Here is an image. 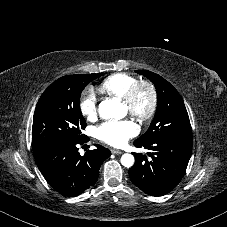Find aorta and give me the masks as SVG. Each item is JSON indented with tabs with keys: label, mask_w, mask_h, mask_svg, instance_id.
<instances>
[{
	"label": "aorta",
	"mask_w": 227,
	"mask_h": 227,
	"mask_svg": "<svg viewBox=\"0 0 227 227\" xmlns=\"http://www.w3.org/2000/svg\"><path fill=\"white\" fill-rule=\"evenodd\" d=\"M98 112L104 119H122L127 113L126 107L115 99H107L99 104ZM121 164L125 167H131L134 164L132 154H124L121 157Z\"/></svg>",
	"instance_id": "aorta-1"
}]
</instances>
